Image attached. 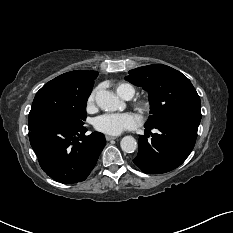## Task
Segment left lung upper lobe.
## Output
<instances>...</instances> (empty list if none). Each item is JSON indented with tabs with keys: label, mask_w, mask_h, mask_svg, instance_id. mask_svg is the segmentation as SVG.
<instances>
[{
	"label": "left lung upper lobe",
	"mask_w": 233,
	"mask_h": 233,
	"mask_svg": "<svg viewBox=\"0 0 233 233\" xmlns=\"http://www.w3.org/2000/svg\"><path fill=\"white\" fill-rule=\"evenodd\" d=\"M126 80L149 93L151 115L146 125L169 117L201 118L200 98L181 72L163 64H153L129 71Z\"/></svg>",
	"instance_id": "5c2ea615"
}]
</instances>
